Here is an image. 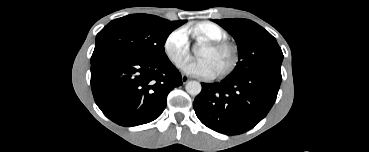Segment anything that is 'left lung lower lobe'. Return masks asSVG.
<instances>
[{"mask_svg":"<svg viewBox=\"0 0 369 152\" xmlns=\"http://www.w3.org/2000/svg\"><path fill=\"white\" fill-rule=\"evenodd\" d=\"M282 77L272 74H229L221 82L202 83L193 107L208 128L237 135L258 124L273 106Z\"/></svg>","mask_w":369,"mask_h":152,"instance_id":"1","label":"left lung lower lobe"}]
</instances>
